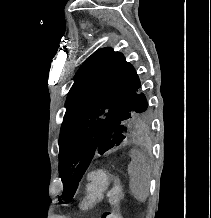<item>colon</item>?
<instances>
[{"mask_svg": "<svg viewBox=\"0 0 211 218\" xmlns=\"http://www.w3.org/2000/svg\"><path fill=\"white\" fill-rule=\"evenodd\" d=\"M110 184L112 186L108 190V197L112 210L105 212L101 218H122L119 211V204L123 196L122 187L117 178L106 170L97 169L88 174V184L83 205L91 207L97 204Z\"/></svg>", "mask_w": 211, "mask_h": 218, "instance_id": "5ec220e1", "label": "colon"}]
</instances>
